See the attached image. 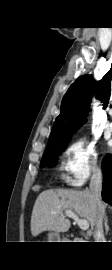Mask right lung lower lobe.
Returning a JSON list of instances; mask_svg holds the SVG:
<instances>
[{
  "mask_svg": "<svg viewBox=\"0 0 112 270\" xmlns=\"http://www.w3.org/2000/svg\"><path fill=\"white\" fill-rule=\"evenodd\" d=\"M102 169L104 174L102 198L112 206V155L105 156Z\"/></svg>",
  "mask_w": 112,
  "mask_h": 270,
  "instance_id": "right-lung-lower-lobe-1",
  "label": "right lung lower lobe"
}]
</instances>
